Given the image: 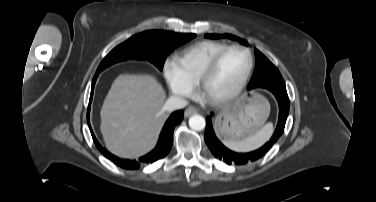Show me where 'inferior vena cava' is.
<instances>
[{
    "label": "inferior vena cava",
    "instance_id": "1",
    "mask_svg": "<svg viewBox=\"0 0 376 202\" xmlns=\"http://www.w3.org/2000/svg\"><path fill=\"white\" fill-rule=\"evenodd\" d=\"M188 102L179 96H170L163 106V111L172 112L177 109L184 108Z\"/></svg>",
    "mask_w": 376,
    "mask_h": 202
}]
</instances>
